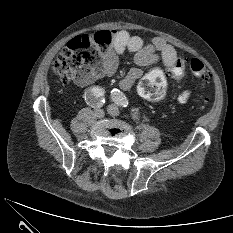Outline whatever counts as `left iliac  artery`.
I'll list each match as a JSON object with an SVG mask.
<instances>
[{"label":"left iliac artery","mask_w":233,"mask_h":233,"mask_svg":"<svg viewBox=\"0 0 233 233\" xmlns=\"http://www.w3.org/2000/svg\"><path fill=\"white\" fill-rule=\"evenodd\" d=\"M113 101L119 106L126 107L128 105V100L126 96L120 92L118 89H113L111 92Z\"/></svg>","instance_id":"1"}]
</instances>
